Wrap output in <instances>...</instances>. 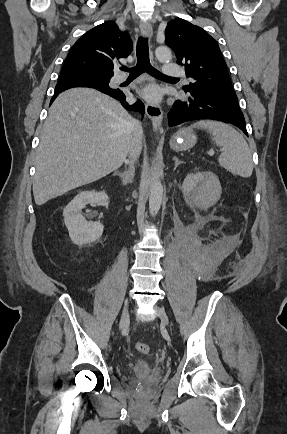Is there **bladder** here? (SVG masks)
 Returning <instances> with one entry per match:
<instances>
[{
	"mask_svg": "<svg viewBox=\"0 0 287 434\" xmlns=\"http://www.w3.org/2000/svg\"><path fill=\"white\" fill-rule=\"evenodd\" d=\"M152 370V366L147 359H137L130 366V371L134 375L149 374Z\"/></svg>",
	"mask_w": 287,
	"mask_h": 434,
	"instance_id": "obj_1",
	"label": "bladder"
}]
</instances>
